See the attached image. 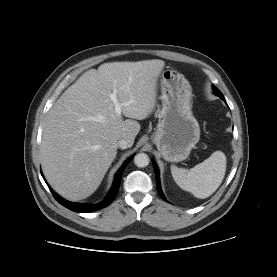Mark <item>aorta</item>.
<instances>
[{
    "label": "aorta",
    "instance_id": "762f6f07",
    "mask_svg": "<svg viewBox=\"0 0 277 277\" xmlns=\"http://www.w3.org/2000/svg\"><path fill=\"white\" fill-rule=\"evenodd\" d=\"M149 157L145 153L137 154L134 157V163L137 167H146L149 164Z\"/></svg>",
    "mask_w": 277,
    "mask_h": 277
}]
</instances>
